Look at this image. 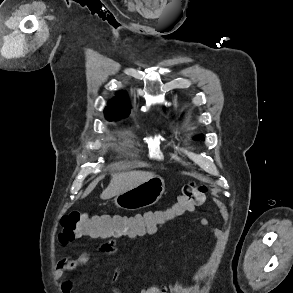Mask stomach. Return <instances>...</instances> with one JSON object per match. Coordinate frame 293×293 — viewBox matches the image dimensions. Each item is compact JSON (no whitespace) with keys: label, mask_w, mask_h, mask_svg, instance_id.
Returning a JSON list of instances; mask_svg holds the SVG:
<instances>
[{"label":"stomach","mask_w":293,"mask_h":293,"mask_svg":"<svg viewBox=\"0 0 293 293\" xmlns=\"http://www.w3.org/2000/svg\"><path fill=\"white\" fill-rule=\"evenodd\" d=\"M164 191V179L155 175L146 182L116 195L114 204L124 210H138L157 203Z\"/></svg>","instance_id":"1"}]
</instances>
